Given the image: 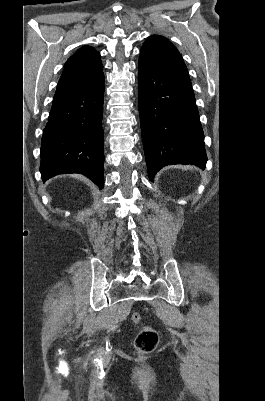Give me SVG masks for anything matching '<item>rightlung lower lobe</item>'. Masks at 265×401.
Wrapping results in <instances>:
<instances>
[{
  "mask_svg": "<svg viewBox=\"0 0 265 401\" xmlns=\"http://www.w3.org/2000/svg\"><path fill=\"white\" fill-rule=\"evenodd\" d=\"M103 97L104 81L92 90L54 98L41 141L43 181L80 173L103 188Z\"/></svg>",
  "mask_w": 265,
  "mask_h": 401,
  "instance_id": "1",
  "label": "right lung lower lobe"
}]
</instances>
